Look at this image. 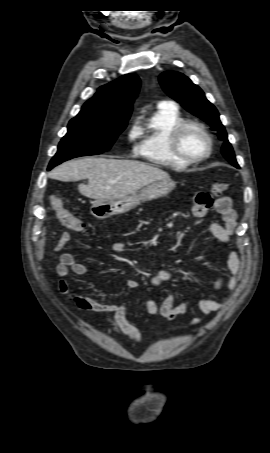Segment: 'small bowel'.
<instances>
[{"label": "small bowel", "mask_w": 270, "mask_h": 453, "mask_svg": "<svg viewBox=\"0 0 270 453\" xmlns=\"http://www.w3.org/2000/svg\"><path fill=\"white\" fill-rule=\"evenodd\" d=\"M215 210L221 216L222 223H211L209 230L217 240L229 244L236 229V213L232 208L231 199L226 196L218 198L215 201ZM192 211L195 217L201 218L207 214L208 206L195 200ZM70 241L71 234L63 232L54 248L55 251H61ZM113 250L118 254L122 253L124 251V243H114ZM226 264L230 276L227 279L224 277L217 278L213 285L215 291L227 289L229 292H232L235 290L241 271V257L237 249H231ZM56 271L58 276L61 277L58 282L59 291L62 294L68 295L79 309L86 312L106 315L104 318L105 322L110 325L115 332L128 336L134 344L141 343L142 338L140 332L126 317L130 308L129 305L100 302L91 297L75 293L70 289L66 278L70 272H73L78 276L85 275L87 269L84 264L75 261V258L71 253H63L60 257V262L57 265ZM173 278L174 274L172 271L163 269L152 278V284L158 286L162 283L171 281ZM127 286L130 289H137L140 286V282L137 279L132 278L127 281ZM226 301L227 297H223L219 300L200 298L195 301V304L201 313L210 315L220 310ZM193 304L194 303L189 300L176 303L175 295L170 292L161 301L154 299L144 301L143 306L150 314L160 315L164 319L172 321L177 316L185 314ZM200 322V318H195L192 320L191 325H198Z\"/></svg>", "instance_id": "small-bowel-1"}]
</instances>
